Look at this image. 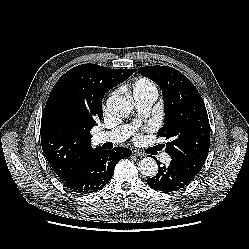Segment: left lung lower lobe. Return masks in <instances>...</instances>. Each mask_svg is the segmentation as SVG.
<instances>
[{
	"label": "left lung lower lobe",
	"instance_id": "0a47b994",
	"mask_svg": "<svg viewBox=\"0 0 249 249\" xmlns=\"http://www.w3.org/2000/svg\"><path fill=\"white\" fill-rule=\"evenodd\" d=\"M158 163L160 164L159 161ZM192 178H194L193 173L185 170L178 163L171 161L168 167L165 165L160 167L156 176L147 179V184L155 190L174 191L182 188Z\"/></svg>",
	"mask_w": 249,
	"mask_h": 249
}]
</instances>
